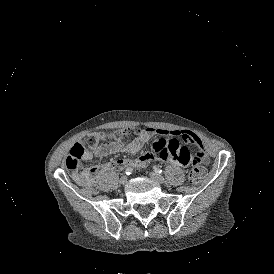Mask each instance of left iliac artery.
I'll return each mask as SVG.
<instances>
[{
    "label": "left iliac artery",
    "instance_id": "44dca946",
    "mask_svg": "<svg viewBox=\"0 0 274 274\" xmlns=\"http://www.w3.org/2000/svg\"><path fill=\"white\" fill-rule=\"evenodd\" d=\"M154 171L158 174H161L162 173V170L160 168H154Z\"/></svg>",
    "mask_w": 274,
    "mask_h": 274
}]
</instances>
